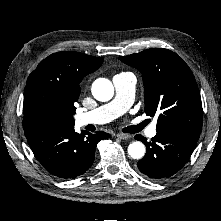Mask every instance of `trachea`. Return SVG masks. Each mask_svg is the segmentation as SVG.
Here are the masks:
<instances>
[{
	"mask_svg": "<svg viewBox=\"0 0 221 221\" xmlns=\"http://www.w3.org/2000/svg\"><path fill=\"white\" fill-rule=\"evenodd\" d=\"M145 126H146V123H141L136 126H129L127 128H124L123 131L126 133H137V132H140Z\"/></svg>",
	"mask_w": 221,
	"mask_h": 221,
	"instance_id": "trachea-1",
	"label": "trachea"
}]
</instances>
